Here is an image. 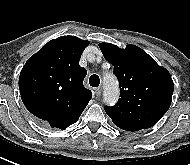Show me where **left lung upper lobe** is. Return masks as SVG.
Wrapping results in <instances>:
<instances>
[{"label":"left lung upper lobe","instance_id":"1","mask_svg":"<svg viewBox=\"0 0 190 165\" xmlns=\"http://www.w3.org/2000/svg\"><path fill=\"white\" fill-rule=\"evenodd\" d=\"M99 47L114 66L120 84L118 102L105 107L113 123L131 131L155 125L171 104L174 84L170 73L135 45L121 49L110 43H100Z\"/></svg>","mask_w":190,"mask_h":165}]
</instances>
